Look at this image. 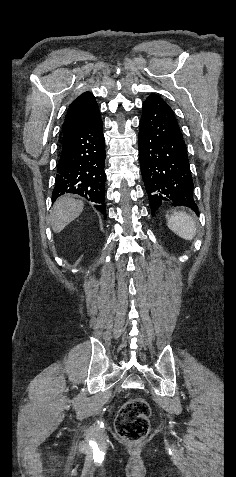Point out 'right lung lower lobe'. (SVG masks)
Segmentation results:
<instances>
[{"mask_svg":"<svg viewBox=\"0 0 236 477\" xmlns=\"http://www.w3.org/2000/svg\"><path fill=\"white\" fill-rule=\"evenodd\" d=\"M98 114L86 127L63 140L52 200L65 193L78 194L94 203L106 218L105 144Z\"/></svg>","mask_w":236,"mask_h":477,"instance_id":"obj_1","label":"right lung lower lobe"}]
</instances>
